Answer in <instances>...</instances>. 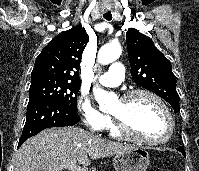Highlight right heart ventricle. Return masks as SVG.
I'll list each match as a JSON object with an SVG mask.
<instances>
[{
    "instance_id": "e07e8e85",
    "label": "right heart ventricle",
    "mask_w": 199,
    "mask_h": 171,
    "mask_svg": "<svg viewBox=\"0 0 199 171\" xmlns=\"http://www.w3.org/2000/svg\"><path fill=\"white\" fill-rule=\"evenodd\" d=\"M107 129H108V131H109V133H110V135L112 136V137H120L121 135L117 132V130L115 129V127H114V125H113V123L111 122V120H109V123H108V125H107V127H106Z\"/></svg>"
}]
</instances>
